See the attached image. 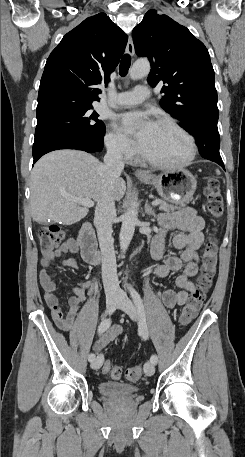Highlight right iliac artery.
Wrapping results in <instances>:
<instances>
[{
    "instance_id": "right-iliac-artery-1",
    "label": "right iliac artery",
    "mask_w": 245,
    "mask_h": 457,
    "mask_svg": "<svg viewBox=\"0 0 245 457\" xmlns=\"http://www.w3.org/2000/svg\"><path fill=\"white\" fill-rule=\"evenodd\" d=\"M111 325V319L110 318H105L99 325L98 327V333L99 334H102L104 333ZM95 359V354L94 353H90L89 356H88V360L90 362L94 361Z\"/></svg>"
}]
</instances>
